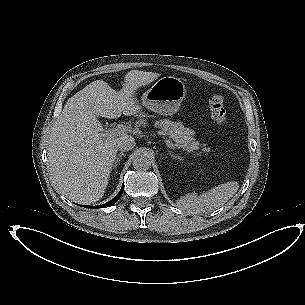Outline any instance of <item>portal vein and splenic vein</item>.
I'll return each instance as SVG.
<instances>
[{
  "instance_id": "obj_1",
  "label": "portal vein and splenic vein",
  "mask_w": 305,
  "mask_h": 305,
  "mask_svg": "<svg viewBox=\"0 0 305 305\" xmlns=\"http://www.w3.org/2000/svg\"><path fill=\"white\" fill-rule=\"evenodd\" d=\"M125 130H126L125 126L118 125L115 129H112L108 134H109V136L118 135ZM170 148L173 150L176 149V147L173 145V143H170Z\"/></svg>"
}]
</instances>
